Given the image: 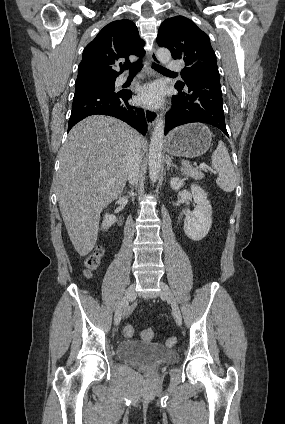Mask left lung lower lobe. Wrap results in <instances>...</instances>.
<instances>
[{
    "label": "left lung lower lobe",
    "mask_w": 285,
    "mask_h": 424,
    "mask_svg": "<svg viewBox=\"0 0 285 424\" xmlns=\"http://www.w3.org/2000/svg\"><path fill=\"white\" fill-rule=\"evenodd\" d=\"M178 95L173 96L172 108L166 114L165 134L171 129L193 122L211 124L227 136L222 91L219 77L199 76L184 86L175 85Z\"/></svg>",
    "instance_id": "1"
}]
</instances>
